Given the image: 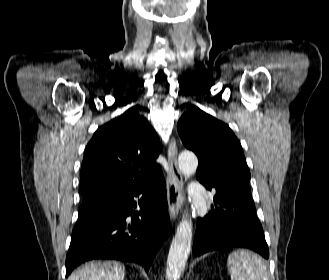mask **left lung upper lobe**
I'll return each instance as SVG.
<instances>
[{
    "instance_id": "left-lung-upper-lobe-1",
    "label": "left lung upper lobe",
    "mask_w": 329,
    "mask_h": 280,
    "mask_svg": "<svg viewBox=\"0 0 329 280\" xmlns=\"http://www.w3.org/2000/svg\"><path fill=\"white\" fill-rule=\"evenodd\" d=\"M178 132L199 159L196 177L206 189L217 197L249 189L250 171L241 144L227 124L193 108L181 116Z\"/></svg>"
}]
</instances>
